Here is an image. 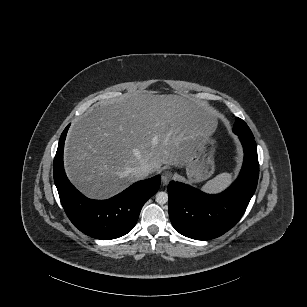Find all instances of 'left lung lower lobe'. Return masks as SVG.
Here are the masks:
<instances>
[{"label": "left lung lower lobe", "mask_w": 307, "mask_h": 307, "mask_svg": "<svg viewBox=\"0 0 307 307\" xmlns=\"http://www.w3.org/2000/svg\"><path fill=\"white\" fill-rule=\"evenodd\" d=\"M244 149V162L237 180L224 192L205 194L191 186L171 181L168 186L169 217L182 235L208 240L231 229L244 214L259 176L254 136L237 134Z\"/></svg>", "instance_id": "0a47b994"}]
</instances>
